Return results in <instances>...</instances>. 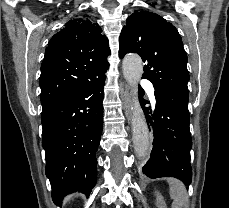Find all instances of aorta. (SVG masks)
Here are the masks:
<instances>
[{"instance_id":"aorta-1","label":"aorta","mask_w":229,"mask_h":208,"mask_svg":"<svg viewBox=\"0 0 229 208\" xmlns=\"http://www.w3.org/2000/svg\"><path fill=\"white\" fill-rule=\"evenodd\" d=\"M123 75L132 89V133L134 150L139 158H145L149 153V130L143 110L138 99V83L143 74L141 58L136 54L125 56L122 63Z\"/></svg>"}]
</instances>
